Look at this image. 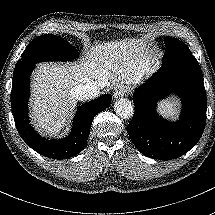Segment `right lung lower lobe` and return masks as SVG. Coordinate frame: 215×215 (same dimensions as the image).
<instances>
[{
    "instance_id": "right-lung-lower-lobe-1",
    "label": "right lung lower lobe",
    "mask_w": 215,
    "mask_h": 215,
    "mask_svg": "<svg viewBox=\"0 0 215 215\" xmlns=\"http://www.w3.org/2000/svg\"><path fill=\"white\" fill-rule=\"evenodd\" d=\"M34 66L35 64L22 65L13 74L11 107L17 130L27 145L42 156L51 159L73 157L84 148L94 117L110 105L112 96L104 94L81 106L75 114L68 137L46 140L32 128L28 116L29 78Z\"/></svg>"
}]
</instances>
